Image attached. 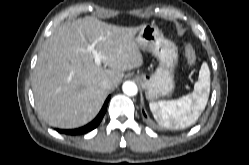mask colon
Here are the masks:
<instances>
[{"mask_svg": "<svg viewBox=\"0 0 249 165\" xmlns=\"http://www.w3.org/2000/svg\"><path fill=\"white\" fill-rule=\"evenodd\" d=\"M185 55H186L187 63L189 65H193L196 62L195 50L191 44L186 45Z\"/></svg>", "mask_w": 249, "mask_h": 165, "instance_id": "5ec220e1", "label": "colon"}]
</instances>
